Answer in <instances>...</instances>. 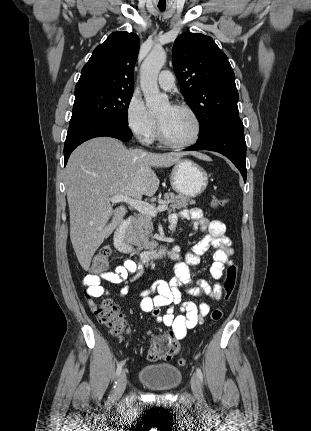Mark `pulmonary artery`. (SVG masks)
I'll return each mask as SVG.
<instances>
[{
    "mask_svg": "<svg viewBox=\"0 0 311 431\" xmlns=\"http://www.w3.org/2000/svg\"><path fill=\"white\" fill-rule=\"evenodd\" d=\"M158 84L161 89L170 91L175 88V78L170 70H163L158 76Z\"/></svg>",
    "mask_w": 311,
    "mask_h": 431,
    "instance_id": "obj_1",
    "label": "pulmonary artery"
}]
</instances>
